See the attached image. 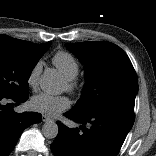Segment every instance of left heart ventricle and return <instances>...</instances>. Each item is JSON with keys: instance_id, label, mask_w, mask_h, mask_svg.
I'll return each mask as SVG.
<instances>
[{"instance_id": "1", "label": "left heart ventricle", "mask_w": 156, "mask_h": 156, "mask_svg": "<svg viewBox=\"0 0 156 156\" xmlns=\"http://www.w3.org/2000/svg\"><path fill=\"white\" fill-rule=\"evenodd\" d=\"M63 88L66 89V84L64 83Z\"/></svg>"}]
</instances>
